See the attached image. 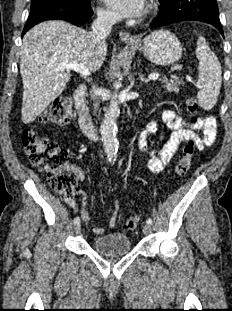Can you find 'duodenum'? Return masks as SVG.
Masks as SVG:
<instances>
[{
  "mask_svg": "<svg viewBox=\"0 0 232 311\" xmlns=\"http://www.w3.org/2000/svg\"><path fill=\"white\" fill-rule=\"evenodd\" d=\"M87 92V87L83 84L77 86L73 92V100L75 104V109L77 112L78 123L83 130V132L90 136H95V126L93 118L85 103V94Z\"/></svg>",
  "mask_w": 232,
  "mask_h": 311,
  "instance_id": "410a0bca",
  "label": "duodenum"
}]
</instances>
